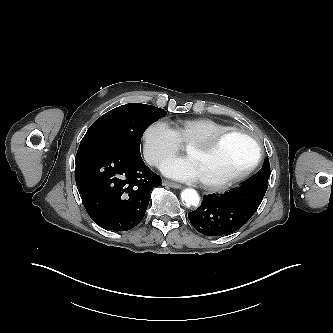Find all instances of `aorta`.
Returning <instances> with one entry per match:
<instances>
[{"instance_id":"aorta-1","label":"aorta","mask_w":333,"mask_h":333,"mask_svg":"<svg viewBox=\"0 0 333 333\" xmlns=\"http://www.w3.org/2000/svg\"><path fill=\"white\" fill-rule=\"evenodd\" d=\"M181 198L185 201L188 205L198 206L200 198L199 194L195 189L186 188L181 192Z\"/></svg>"}]
</instances>
